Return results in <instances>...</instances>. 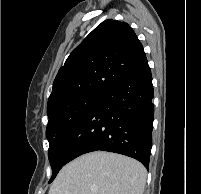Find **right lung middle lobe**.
Returning a JSON list of instances; mask_svg holds the SVG:
<instances>
[{
    "mask_svg": "<svg viewBox=\"0 0 201 194\" xmlns=\"http://www.w3.org/2000/svg\"><path fill=\"white\" fill-rule=\"evenodd\" d=\"M102 95H90L80 97L54 107L47 112L49 121L46 129V137L49 142L48 157L52 167V182L60 169L54 161L53 154L65 134L86 114L101 98Z\"/></svg>",
    "mask_w": 201,
    "mask_h": 194,
    "instance_id": "dd1d6c3e",
    "label": "right lung middle lobe"
}]
</instances>
